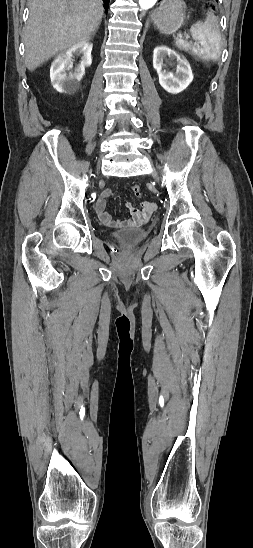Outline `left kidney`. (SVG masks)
Here are the masks:
<instances>
[{"instance_id":"1","label":"left kidney","mask_w":253,"mask_h":548,"mask_svg":"<svg viewBox=\"0 0 253 548\" xmlns=\"http://www.w3.org/2000/svg\"><path fill=\"white\" fill-rule=\"evenodd\" d=\"M167 57L171 63H177L175 73L163 69V60ZM153 67L159 76L160 85L171 94L182 92L193 80L188 61L166 46H158L154 49Z\"/></svg>"}]
</instances>
